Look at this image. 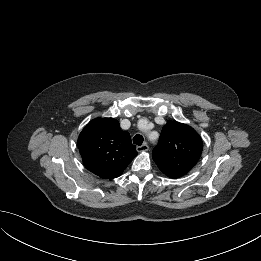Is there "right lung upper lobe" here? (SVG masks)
I'll return each instance as SVG.
<instances>
[{"mask_svg": "<svg viewBox=\"0 0 261 261\" xmlns=\"http://www.w3.org/2000/svg\"><path fill=\"white\" fill-rule=\"evenodd\" d=\"M84 166L103 179L119 177L137 155L128 132L113 118L90 121L78 138Z\"/></svg>", "mask_w": 261, "mask_h": 261, "instance_id": "right-lung-upper-lobe-1", "label": "right lung upper lobe"}]
</instances>
